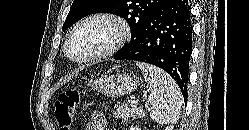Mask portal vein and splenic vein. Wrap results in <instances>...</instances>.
Returning <instances> with one entry per match:
<instances>
[{"mask_svg":"<svg viewBox=\"0 0 249 130\" xmlns=\"http://www.w3.org/2000/svg\"><path fill=\"white\" fill-rule=\"evenodd\" d=\"M131 105L136 107L138 105V100H132Z\"/></svg>","mask_w":249,"mask_h":130,"instance_id":"obj_1","label":"portal vein and splenic vein"}]
</instances>
